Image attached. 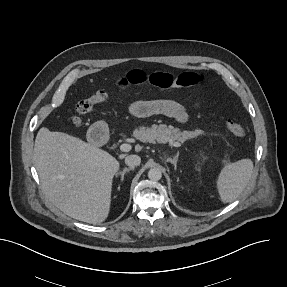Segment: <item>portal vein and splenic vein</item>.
<instances>
[{"mask_svg":"<svg viewBox=\"0 0 287 287\" xmlns=\"http://www.w3.org/2000/svg\"><path fill=\"white\" fill-rule=\"evenodd\" d=\"M170 145L174 146V147H180L181 146V144L179 142H176V141L175 142L171 141ZM120 150L123 151V152H129L131 150V145L130 144H126V143L121 144L120 145Z\"/></svg>","mask_w":287,"mask_h":287,"instance_id":"obj_1","label":"portal vein and splenic vein"}]
</instances>
